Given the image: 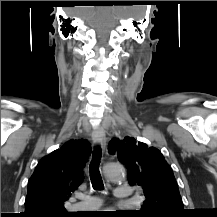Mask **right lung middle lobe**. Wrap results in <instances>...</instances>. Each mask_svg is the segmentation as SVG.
<instances>
[{"instance_id": "right-lung-middle-lobe-1", "label": "right lung middle lobe", "mask_w": 217, "mask_h": 217, "mask_svg": "<svg viewBox=\"0 0 217 217\" xmlns=\"http://www.w3.org/2000/svg\"><path fill=\"white\" fill-rule=\"evenodd\" d=\"M55 217H67L65 215H56Z\"/></svg>"}]
</instances>
